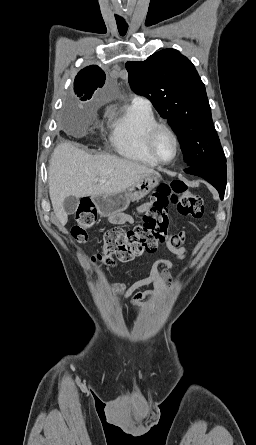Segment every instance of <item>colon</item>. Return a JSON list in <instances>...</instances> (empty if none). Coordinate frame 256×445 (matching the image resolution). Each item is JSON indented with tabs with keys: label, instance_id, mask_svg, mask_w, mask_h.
I'll list each match as a JSON object with an SVG mask.
<instances>
[{
	"label": "colon",
	"instance_id": "obj_1",
	"mask_svg": "<svg viewBox=\"0 0 256 445\" xmlns=\"http://www.w3.org/2000/svg\"><path fill=\"white\" fill-rule=\"evenodd\" d=\"M170 203L175 204L178 212L186 217L200 219L204 214L203 198L188 191L183 182L162 183L154 192L140 224L128 230L114 228L105 233L98 259L107 266H113L117 261L128 262L143 253L154 252L168 240L167 209ZM74 216L71 234L78 243H85L87 230L98 222L94 205L90 201L81 202Z\"/></svg>",
	"mask_w": 256,
	"mask_h": 445
}]
</instances>
